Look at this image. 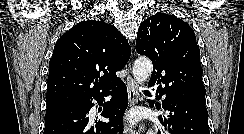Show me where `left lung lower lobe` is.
<instances>
[{"mask_svg":"<svg viewBox=\"0 0 244 134\" xmlns=\"http://www.w3.org/2000/svg\"><path fill=\"white\" fill-rule=\"evenodd\" d=\"M163 94L156 92V99ZM153 105V101L149 100ZM164 110H170L168 119L159 120L164 127H168L171 134H210L208 128V112L205 104L191 100L166 96L162 102Z\"/></svg>","mask_w":244,"mask_h":134,"instance_id":"obj_1","label":"left lung lower lobe"}]
</instances>
